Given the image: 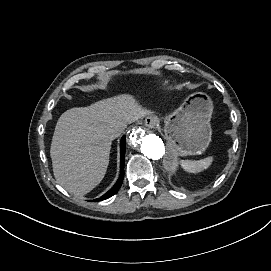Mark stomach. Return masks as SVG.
Wrapping results in <instances>:
<instances>
[{
    "instance_id": "stomach-1",
    "label": "stomach",
    "mask_w": 271,
    "mask_h": 271,
    "mask_svg": "<svg viewBox=\"0 0 271 271\" xmlns=\"http://www.w3.org/2000/svg\"><path fill=\"white\" fill-rule=\"evenodd\" d=\"M211 98L202 92L188 96L174 112L164 117V137L176 156L203 153L211 142Z\"/></svg>"
}]
</instances>
